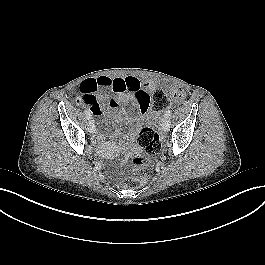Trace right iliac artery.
Listing matches in <instances>:
<instances>
[{"label":"right iliac artery","instance_id":"82829eb1","mask_svg":"<svg viewBox=\"0 0 265 265\" xmlns=\"http://www.w3.org/2000/svg\"><path fill=\"white\" fill-rule=\"evenodd\" d=\"M84 113H85L86 118H87L88 120L91 119V113H90L89 110H85Z\"/></svg>","mask_w":265,"mask_h":265}]
</instances>
